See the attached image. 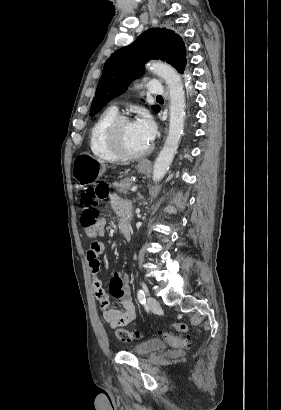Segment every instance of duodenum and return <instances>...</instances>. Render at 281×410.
Here are the masks:
<instances>
[{"mask_svg":"<svg viewBox=\"0 0 281 410\" xmlns=\"http://www.w3.org/2000/svg\"><path fill=\"white\" fill-rule=\"evenodd\" d=\"M121 236L125 242L130 241V227L127 224H122L121 225Z\"/></svg>","mask_w":281,"mask_h":410,"instance_id":"410a0bca","label":"duodenum"}]
</instances>
